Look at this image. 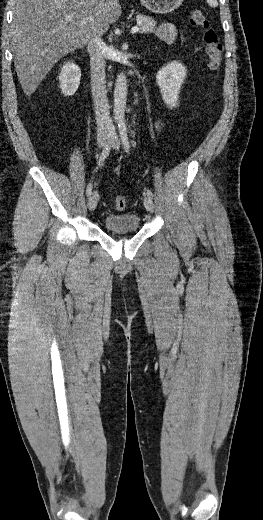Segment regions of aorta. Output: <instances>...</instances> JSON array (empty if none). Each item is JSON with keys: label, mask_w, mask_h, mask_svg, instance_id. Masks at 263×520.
Returning a JSON list of instances; mask_svg holds the SVG:
<instances>
[{"label": "aorta", "mask_w": 263, "mask_h": 520, "mask_svg": "<svg viewBox=\"0 0 263 520\" xmlns=\"http://www.w3.org/2000/svg\"><path fill=\"white\" fill-rule=\"evenodd\" d=\"M127 99V79L124 73L117 76L114 88V115L116 120H123Z\"/></svg>", "instance_id": "1"}]
</instances>
